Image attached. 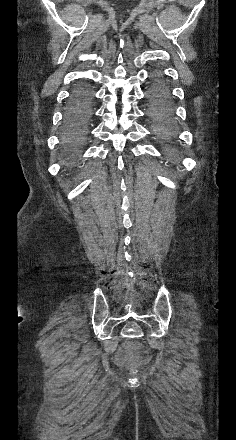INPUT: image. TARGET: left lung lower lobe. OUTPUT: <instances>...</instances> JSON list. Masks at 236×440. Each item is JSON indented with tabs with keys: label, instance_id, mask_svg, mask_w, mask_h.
<instances>
[{
	"label": "left lung lower lobe",
	"instance_id": "1",
	"mask_svg": "<svg viewBox=\"0 0 236 440\" xmlns=\"http://www.w3.org/2000/svg\"><path fill=\"white\" fill-rule=\"evenodd\" d=\"M147 97L149 101L148 116L154 122L157 133L167 137L172 133L174 107L168 86L160 75L154 77Z\"/></svg>",
	"mask_w": 236,
	"mask_h": 440
}]
</instances>
